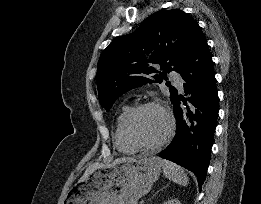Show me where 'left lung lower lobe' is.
I'll return each mask as SVG.
<instances>
[{
    "label": "left lung lower lobe",
    "instance_id": "obj_1",
    "mask_svg": "<svg viewBox=\"0 0 261 204\" xmlns=\"http://www.w3.org/2000/svg\"><path fill=\"white\" fill-rule=\"evenodd\" d=\"M184 92L176 95L173 111L176 134L159 156L192 171L199 189L206 178L219 105L212 55L207 40L199 30L180 70ZM182 105L186 108L182 109Z\"/></svg>",
    "mask_w": 261,
    "mask_h": 204
}]
</instances>
